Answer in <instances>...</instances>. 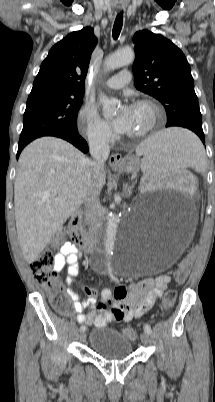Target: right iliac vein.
Segmentation results:
<instances>
[{
  "label": "right iliac vein",
  "mask_w": 215,
  "mask_h": 402,
  "mask_svg": "<svg viewBox=\"0 0 215 402\" xmlns=\"http://www.w3.org/2000/svg\"><path fill=\"white\" fill-rule=\"evenodd\" d=\"M85 339H86V333L84 331V332H81V334H80V341L84 342Z\"/></svg>",
  "instance_id": "63e3f726"
}]
</instances>
